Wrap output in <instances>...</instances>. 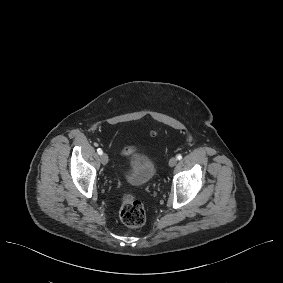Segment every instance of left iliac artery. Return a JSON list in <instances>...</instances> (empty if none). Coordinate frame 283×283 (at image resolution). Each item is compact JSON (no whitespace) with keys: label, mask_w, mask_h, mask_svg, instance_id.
<instances>
[{"label":"left iliac artery","mask_w":283,"mask_h":283,"mask_svg":"<svg viewBox=\"0 0 283 283\" xmlns=\"http://www.w3.org/2000/svg\"><path fill=\"white\" fill-rule=\"evenodd\" d=\"M177 159L181 160L182 159V155L181 154L177 155Z\"/></svg>","instance_id":"obj_1"}]
</instances>
